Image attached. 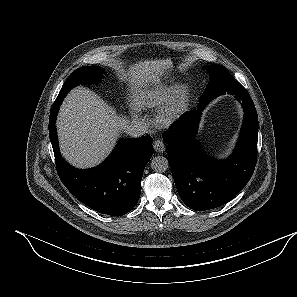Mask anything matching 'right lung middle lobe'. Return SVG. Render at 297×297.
<instances>
[{"label": "right lung middle lobe", "instance_id": "dd1d6c3e", "mask_svg": "<svg viewBox=\"0 0 297 297\" xmlns=\"http://www.w3.org/2000/svg\"><path fill=\"white\" fill-rule=\"evenodd\" d=\"M103 71L98 66H84L76 69L63 84L59 94L66 95L79 84H93L103 78Z\"/></svg>", "mask_w": 297, "mask_h": 297}]
</instances>
